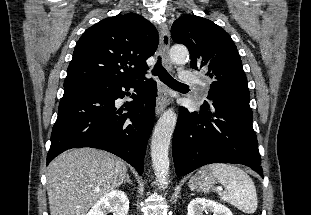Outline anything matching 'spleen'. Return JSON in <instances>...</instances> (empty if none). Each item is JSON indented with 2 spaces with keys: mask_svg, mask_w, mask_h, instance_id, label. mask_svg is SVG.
<instances>
[{
  "mask_svg": "<svg viewBox=\"0 0 311 215\" xmlns=\"http://www.w3.org/2000/svg\"><path fill=\"white\" fill-rule=\"evenodd\" d=\"M206 173L220 182L227 190L219 193L224 200L247 214H253L258 205L252 178L242 169L231 164H211Z\"/></svg>",
  "mask_w": 311,
  "mask_h": 215,
  "instance_id": "spleen-1",
  "label": "spleen"
}]
</instances>
